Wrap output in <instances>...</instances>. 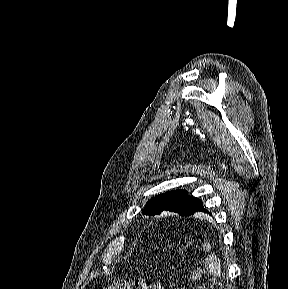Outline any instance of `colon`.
Returning a JSON list of instances; mask_svg holds the SVG:
<instances>
[{
	"label": "colon",
	"mask_w": 288,
	"mask_h": 289,
	"mask_svg": "<svg viewBox=\"0 0 288 289\" xmlns=\"http://www.w3.org/2000/svg\"><path fill=\"white\" fill-rule=\"evenodd\" d=\"M99 289H162V286L158 281H133L130 278H123L121 280L113 281L109 285L100 287Z\"/></svg>",
	"instance_id": "1"
}]
</instances>
